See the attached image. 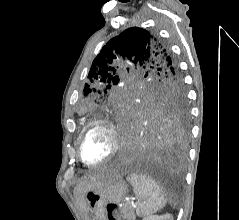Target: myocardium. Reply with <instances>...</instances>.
<instances>
[{
	"label": "myocardium",
	"instance_id": "myocardium-1",
	"mask_svg": "<svg viewBox=\"0 0 239 220\" xmlns=\"http://www.w3.org/2000/svg\"><path fill=\"white\" fill-rule=\"evenodd\" d=\"M98 126L104 127L109 131L111 135V139H112L111 149L109 153L103 159L96 162H89L83 157L82 142L87 132L90 131L92 128L98 127ZM77 143H78L79 160L86 166L95 167L109 161L111 158L115 156V154L117 153L120 147V138H119V134L116 127L109 120L96 119V120L90 121L89 123L85 125V127L82 129V131L79 134Z\"/></svg>",
	"mask_w": 239,
	"mask_h": 220
}]
</instances>
